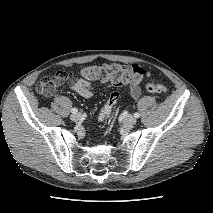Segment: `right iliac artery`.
I'll return each instance as SVG.
<instances>
[{"instance_id": "right-iliac-artery-1", "label": "right iliac artery", "mask_w": 213, "mask_h": 213, "mask_svg": "<svg viewBox=\"0 0 213 213\" xmlns=\"http://www.w3.org/2000/svg\"><path fill=\"white\" fill-rule=\"evenodd\" d=\"M71 112L75 114V113L78 112V110H77L76 108H72V109H71Z\"/></svg>"}]
</instances>
